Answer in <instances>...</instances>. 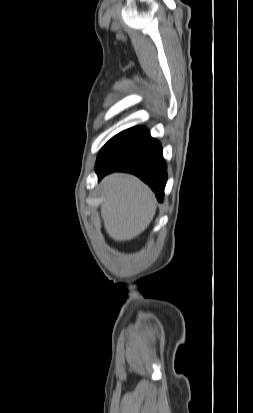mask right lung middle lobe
<instances>
[{
  "instance_id": "1",
  "label": "right lung middle lobe",
  "mask_w": 253,
  "mask_h": 413,
  "mask_svg": "<svg viewBox=\"0 0 253 413\" xmlns=\"http://www.w3.org/2000/svg\"><path fill=\"white\" fill-rule=\"evenodd\" d=\"M149 131L144 127H133L122 131L110 139L100 150L96 166L111 157L113 154L145 138Z\"/></svg>"
}]
</instances>
